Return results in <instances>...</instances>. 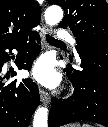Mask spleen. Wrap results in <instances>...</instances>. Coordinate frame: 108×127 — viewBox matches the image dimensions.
Returning a JSON list of instances; mask_svg holds the SVG:
<instances>
[{"instance_id": "obj_1", "label": "spleen", "mask_w": 108, "mask_h": 127, "mask_svg": "<svg viewBox=\"0 0 108 127\" xmlns=\"http://www.w3.org/2000/svg\"><path fill=\"white\" fill-rule=\"evenodd\" d=\"M82 127H92L91 125H89V124H83V126Z\"/></svg>"}]
</instances>
